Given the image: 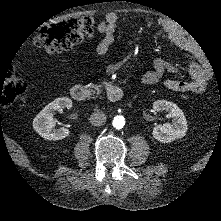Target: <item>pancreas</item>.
<instances>
[{"mask_svg": "<svg viewBox=\"0 0 221 221\" xmlns=\"http://www.w3.org/2000/svg\"><path fill=\"white\" fill-rule=\"evenodd\" d=\"M85 88H89L90 95L101 92L100 87L97 84H90V86L86 85Z\"/></svg>", "mask_w": 221, "mask_h": 221, "instance_id": "cf45deb5", "label": "pancreas"}]
</instances>
